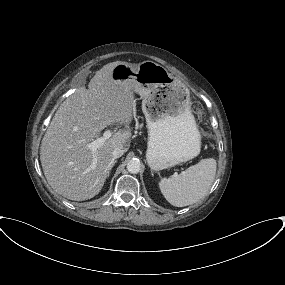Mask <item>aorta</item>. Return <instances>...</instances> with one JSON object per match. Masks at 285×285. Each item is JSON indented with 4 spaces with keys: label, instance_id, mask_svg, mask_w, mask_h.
Listing matches in <instances>:
<instances>
[{
    "label": "aorta",
    "instance_id": "obj_1",
    "mask_svg": "<svg viewBox=\"0 0 285 285\" xmlns=\"http://www.w3.org/2000/svg\"><path fill=\"white\" fill-rule=\"evenodd\" d=\"M127 170L132 174H137L141 170V163L138 159H132L127 163Z\"/></svg>",
    "mask_w": 285,
    "mask_h": 285
}]
</instances>
